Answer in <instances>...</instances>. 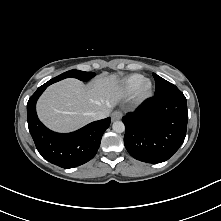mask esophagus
Here are the masks:
<instances>
[{"label":"esophagus","mask_w":221,"mask_h":221,"mask_svg":"<svg viewBox=\"0 0 221 221\" xmlns=\"http://www.w3.org/2000/svg\"><path fill=\"white\" fill-rule=\"evenodd\" d=\"M121 117H122L121 111H117V110L114 111L111 115L112 121L119 120V119H121Z\"/></svg>","instance_id":"esophagus-1"}]
</instances>
